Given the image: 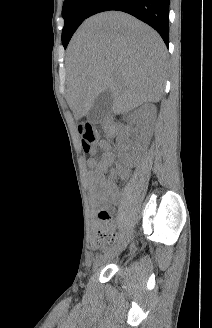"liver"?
Segmentation results:
<instances>
[{
	"mask_svg": "<svg viewBox=\"0 0 212 328\" xmlns=\"http://www.w3.org/2000/svg\"><path fill=\"white\" fill-rule=\"evenodd\" d=\"M165 66V44L148 25L116 11L86 19L67 51L66 99L75 119L106 90L113 94L114 114L158 102Z\"/></svg>",
	"mask_w": 212,
	"mask_h": 328,
	"instance_id": "6515ba94",
	"label": "liver"
}]
</instances>
